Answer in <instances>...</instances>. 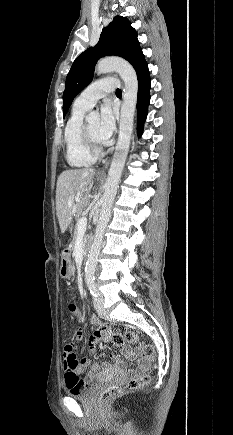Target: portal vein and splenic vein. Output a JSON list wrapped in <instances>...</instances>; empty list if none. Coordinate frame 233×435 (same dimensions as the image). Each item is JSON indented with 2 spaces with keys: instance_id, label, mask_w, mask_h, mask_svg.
<instances>
[{
  "instance_id": "portal-vein-and-splenic-vein-1",
  "label": "portal vein and splenic vein",
  "mask_w": 233,
  "mask_h": 435,
  "mask_svg": "<svg viewBox=\"0 0 233 435\" xmlns=\"http://www.w3.org/2000/svg\"><path fill=\"white\" fill-rule=\"evenodd\" d=\"M80 199L76 198V202H79ZM86 227H87V218L86 217H82L78 223H77V230L78 233H84L86 231Z\"/></svg>"
}]
</instances>
